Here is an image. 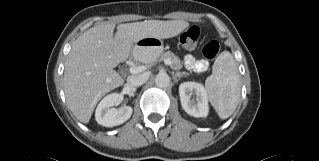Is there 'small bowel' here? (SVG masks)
<instances>
[{
    "instance_id": "small-bowel-1",
    "label": "small bowel",
    "mask_w": 319,
    "mask_h": 161,
    "mask_svg": "<svg viewBox=\"0 0 319 161\" xmlns=\"http://www.w3.org/2000/svg\"><path fill=\"white\" fill-rule=\"evenodd\" d=\"M183 64L194 70H203L206 68V62L200 59H196L193 55L187 54L183 58Z\"/></svg>"
}]
</instances>
